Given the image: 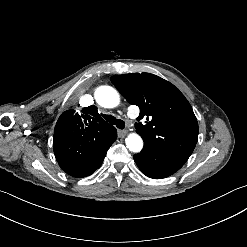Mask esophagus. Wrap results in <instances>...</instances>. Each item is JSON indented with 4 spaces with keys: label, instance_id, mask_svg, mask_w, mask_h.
I'll list each match as a JSON object with an SVG mask.
<instances>
[{
    "label": "esophagus",
    "instance_id": "1",
    "mask_svg": "<svg viewBox=\"0 0 247 247\" xmlns=\"http://www.w3.org/2000/svg\"><path fill=\"white\" fill-rule=\"evenodd\" d=\"M127 134L126 130H118V137L119 138H124Z\"/></svg>",
    "mask_w": 247,
    "mask_h": 247
}]
</instances>
